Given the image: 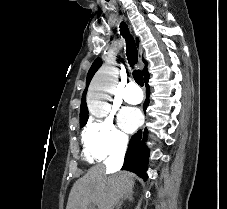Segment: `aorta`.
Wrapping results in <instances>:
<instances>
[{
  "label": "aorta",
  "instance_id": "aorta-1",
  "mask_svg": "<svg viewBox=\"0 0 227 209\" xmlns=\"http://www.w3.org/2000/svg\"><path fill=\"white\" fill-rule=\"evenodd\" d=\"M118 77V70L113 62L103 65L95 74L87 96V104L90 113L96 117L105 116L110 105V95L114 93Z\"/></svg>",
  "mask_w": 227,
  "mask_h": 209
}]
</instances>
